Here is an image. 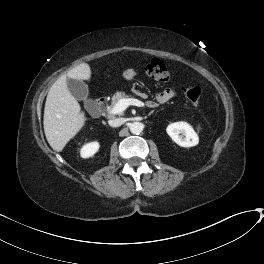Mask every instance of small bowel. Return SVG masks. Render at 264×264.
Returning <instances> with one entry per match:
<instances>
[{
	"instance_id": "obj_1",
	"label": "small bowel",
	"mask_w": 264,
	"mask_h": 264,
	"mask_svg": "<svg viewBox=\"0 0 264 264\" xmlns=\"http://www.w3.org/2000/svg\"><path fill=\"white\" fill-rule=\"evenodd\" d=\"M140 96H144L140 94ZM175 96V90L172 87L165 88L162 92L158 93L153 100H148L146 102L147 107L154 108L159 104L165 103L171 100Z\"/></svg>"
}]
</instances>
